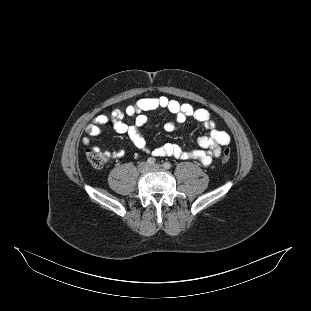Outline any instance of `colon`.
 I'll use <instances>...</instances> for the list:
<instances>
[{
  "instance_id": "5ec220e1",
  "label": "colon",
  "mask_w": 311,
  "mask_h": 311,
  "mask_svg": "<svg viewBox=\"0 0 311 311\" xmlns=\"http://www.w3.org/2000/svg\"><path fill=\"white\" fill-rule=\"evenodd\" d=\"M231 150L229 148H225L221 154V160L223 162H227L230 159ZM108 155L103 151H95L89 149L87 151V159L89 163L96 169H100L104 167L108 161Z\"/></svg>"
}]
</instances>
